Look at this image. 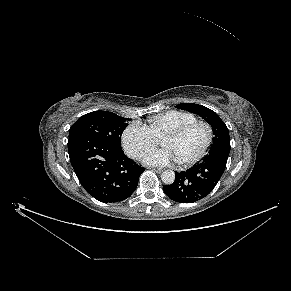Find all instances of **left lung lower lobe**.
Listing matches in <instances>:
<instances>
[{"mask_svg":"<svg viewBox=\"0 0 291 291\" xmlns=\"http://www.w3.org/2000/svg\"><path fill=\"white\" fill-rule=\"evenodd\" d=\"M230 152V144H218L193 168L175 172L173 184L163 186L165 194L179 203H193L206 197L221 178Z\"/></svg>","mask_w":291,"mask_h":291,"instance_id":"obj_1","label":"left lung lower lobe"}]
</instances>
